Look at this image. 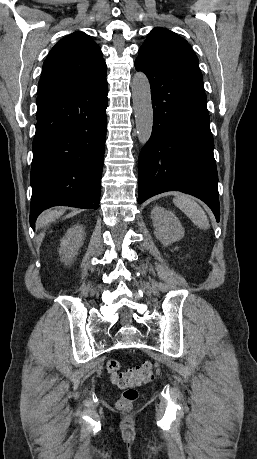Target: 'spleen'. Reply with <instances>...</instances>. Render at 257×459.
<instances>
[{
  "label": "spleen",
  "mask_w": 257,
  "mask_h": 459,
  "mask_svg": "<svg viewBox=\"0 0 257 459\" xmlns=\"http://www.w3.org/2000/svg\"><path fill=\"white\" fill-rule=\"evenodd\" d=\"M175 206L182 210L190 220L201 229L210 227L208 217L201 206L189 195L177 194L173 199Z\"/></svg>",
  "instance_id": "spleen-1"
}]
</instances>
